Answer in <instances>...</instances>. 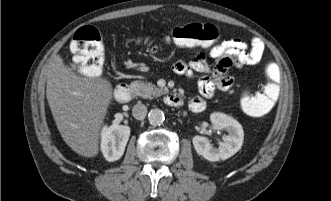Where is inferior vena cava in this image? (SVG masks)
Returning a JSON list of instances; mask_svg holds the SVG:
<instances>
[{
  "mask_svg": "<svg viewBox=\"0 0 331 201\" xmlns=\"http://www.w3.org/2000/svg\"><path fill=\"white\" fill-rule=\"evenodd\" d=\"M132 115L138 120H143L147 115V107L141 102L134 105Z\"/></svg>",
  "mask_w": 331,
  "mask_h": 201,
  "instance_id": "602c4592",
  "label": "inferior vena cava"
}]
</instances>
